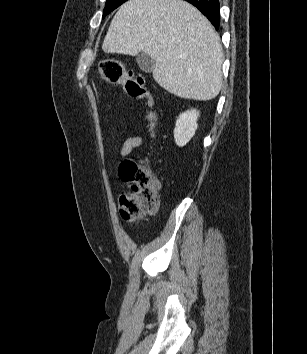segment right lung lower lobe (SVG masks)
<instances>
[{
    "label": "right lung lower lobe",
    "instance_id": "right-lung-lower-lobe-1",
    "mask_svg": "<svg viewBox=\"0 0 307 354\" xmlns=\"http://www.w3.org/2000/svg\"><path fill=\"white\" fill-rule=\"evenodd\" d=\"M197 7L213 24L216 30L220 26V5L218 0H185Z\"/></svg>",
    "mask_w": 307,
    "mask_h": 354
}]
</instances>
